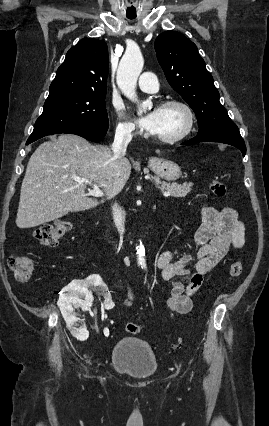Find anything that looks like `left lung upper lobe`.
Returning <instances> with one entry per match:
<instances>
[{"mask_svg":"<svg viewBox=\"0 0 269 426\" xmlns=\"http://www.w3.org/2000/svg\"><path fill=\"white\" fill-rule=\"evenodd\" d=\"M155 50L168 83L195 112L199 131L232 122L192 41L179 32L166 31L156 38Z\"/></svg>","mask_w":269,"mask_h":426,"instance_id":"obj_1","label":"left lung upper lobe"}]
</instances>
